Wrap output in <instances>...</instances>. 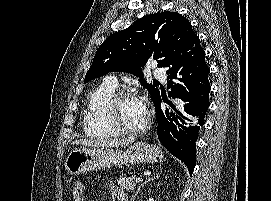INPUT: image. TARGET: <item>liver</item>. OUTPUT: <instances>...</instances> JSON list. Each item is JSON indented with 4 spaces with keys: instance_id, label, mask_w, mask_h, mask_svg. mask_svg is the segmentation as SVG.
I'll list each match as a JSON object with an SVG mask.
<instances>
[{
    "instance_id": "liver-1",
    "label": "liver",
    "mask_w": 271,
    "mask_h": 201,
    "mask_svg": "<svg viewBox=\"0 0 271 201\" xmlns=\"http://www.w3.org/2000/svg\"><path fill=\"white\" fill-rule=\"evenodd\" d=\"M134 142V138H116L111 140L78 139L72 145H82L99 148H119L125 147Z\"/></svg>"
}]
</instances>
